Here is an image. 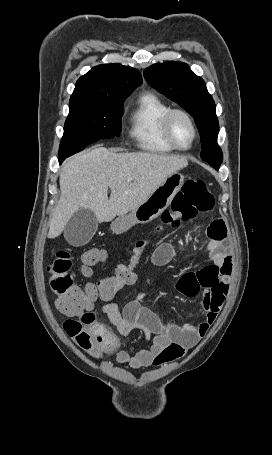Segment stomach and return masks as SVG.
Instances as JSON below:
<instances>
[{
	"label": "stomach",
	"instance_id": "0dacf381",
	"mask_svg": "<svg viewBox=\"0 0 272 455\" xmlns=\"http://www.w3.org/2000/svg\"><path fill=\"white\" fill-rule=\"evenodd\" d=\"M184 175L171 174L140 206L119 216L111 225L114 234H122L135 224H145L157 218L172 202L184 183Z\"/></svg>",
	"mask_w": 272,
	"mask_h": 455
}]
</instances>
